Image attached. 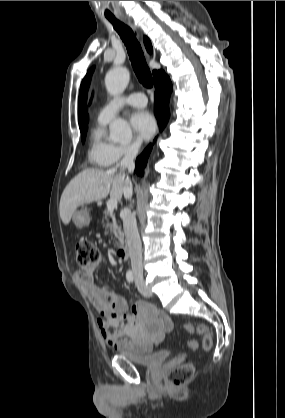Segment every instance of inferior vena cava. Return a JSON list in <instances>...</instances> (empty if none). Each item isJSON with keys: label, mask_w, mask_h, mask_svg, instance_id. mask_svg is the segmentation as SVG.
<instances>
[{"label": "inferior vena cava", "mask_w": 285, "mask_h": 418, "mask_svg": "<svg viewBox=\"0 0 285 418\" xmlns=\"http://www.w3.org/2000/svg\"><path fill=\"white\" fill-rule=\"evenodd\" d=\"M138 153V146H130L123 159L116 165L115 170H118V175L125 177V170L129 172L134 170L135 164L134 159ZM133 188L132 183L129 178L125 180L124 186V197L130 199L132 197ZM123 227L126 237V242L129 248V254L131 259V268L135 276L143 275V265H142V245L140 236L138 233L136 217L129 209L125 210L123 215Z\"/></svg>", "instance_id": "obj_1"}]
</instances>
